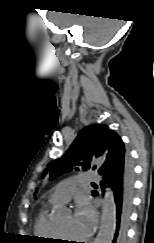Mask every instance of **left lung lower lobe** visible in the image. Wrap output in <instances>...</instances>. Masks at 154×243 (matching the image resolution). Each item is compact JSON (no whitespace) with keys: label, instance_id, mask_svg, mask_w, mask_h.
I'll list each match as a JSON object with an SVG mask.
<instances>
[{"label":"left lung lower lobe","instance_id":"left-lung-lower-lobe-1","mask_svg":"<svg viewBox=\"0 0 154 243\" xmlns=\"http://www.w3.org/2000/svg\"><path fill=\"white\" fill-rule=\"evenodd\" d=\"M99 173L104 175L113 191L116 221L112 243H125L134 191V170L129 153L126 151L124 156L119 153L117 156L107 157ZM101 185L104 186V182ZM97 194L95 192L93 196Z\"/></svg>","mask_w":154,"mask_h":243}]
</instances>
